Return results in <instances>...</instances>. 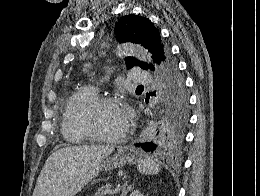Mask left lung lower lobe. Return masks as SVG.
<instances>
[{
	"label": "left lung lower lobe",
	"mask_w": 260,
	"mask_h": 196,
	"mask_svg": "<svg viewBox=\"0 0 260 196\" xmlns=\"http://www.w3.org/2000/svg\"><path fill=\"white\" fill-rule=\"evenodd\" d=\"M137 146H141L142 149L146 152H155L156 151V145L151 142L144 143V144H138Z\"/></svg>",
	"instance_id": "1"
}]
</instances>
